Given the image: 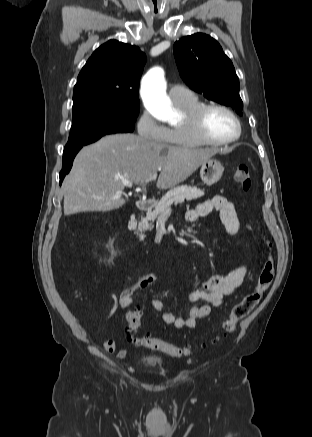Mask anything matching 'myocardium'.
<instances>
[{
	"label": "myocardium",
	"mask_w": 312,
	"mask_h": 437,
	"mask_svg": "<svg viewBox=\"0 0 312 437\" xmlns=\"http://www.w3.org/2000/svg\"><path fill=\"white\" fill-rule=\"evenodd\" d=\"M212 109H220L230 115L236 123V133L225 140L210 138L204 130V119ZM184 125L191 135L200 143L212 146H225L237 141L242 133V124L238 115L228 106L220 103L202 104L188 115L184 116Z\"/></svg>",
	"instance_id": "f54148a6"
}]
</instances>
